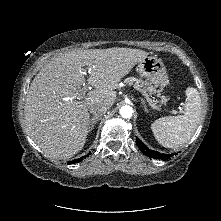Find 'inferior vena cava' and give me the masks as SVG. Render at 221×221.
Instances as JSON below:
<instances>
[{
	"mask_svg": "<svg viewBox=\"0 0 221 221\" xmlns=\"http://www.w3.org/2000/svg\"><path fill=\"white\" fill-rule=\"evenodd\" d=\"M108 107L102 103H96L89 107L90 113L95 118H101L106 112Z\"/></svg>",
	"mask_w": 221,
	"mask_h": 221,
	"instance_id": "1",
	"label": "inferior vena cava"
}]
</instances>
